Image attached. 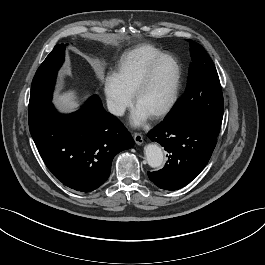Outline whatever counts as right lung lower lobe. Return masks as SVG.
Here are the masks:
<instances>
[{
    "label": "right lung lower lobe",
    "mask_w": 265,
    "mask_h": 265,
    "mask_svg": "<svg viewBox=\"0 0 265 265\" xmlns=\"http://www.w3.org/2000/svg\"><path fill=\"white\" fill-rule=\"evenodd\" d=\"M29 129L51 173L80 192L101 186L110 175L115 155L134 145L130 133L104 110L97 95L69 115L58 113L50 103L29 118Z\"/></svg>",
    "instance_id": "98d812e1"
}]
</instances>
